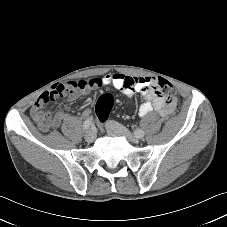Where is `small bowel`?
I'll return each instance as SVG.
<instances>
[{
	"instance_id": "small-bowel-1",
	"label": "small bowel",
	"mask_w": 227,
	"mask_h": 227,
	"mask_svg": "<svg viewBox=\"0 0 227 227\" xmlns=\"http://www.w3.org/2000/svg\"><path fill=\"white\" fill-rule=\"evenodd\" d=\"M159 80L155 77H133L121 73L107 74L103 77L93 78L89 81H68L58 83L40 95L31 108V116L38 128L47 131L49 128H57L67 114L58 111L50 113L44 110L45 104L60 97H65L67 103H72L78 97L86 95L91 89H96L105 85H112L120 90L125 96L132 97L139 94L144 102L139 107V115L145 116L152 111H156L162 116H176L180 112V105L177 98L172 95H165L159 88ZM90 110L83 112V117H89Z\"/></svg>"
}]
</instances>
